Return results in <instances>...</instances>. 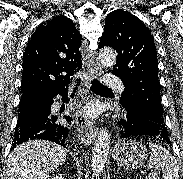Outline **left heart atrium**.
Segmentation results:
<instances>
[{
  "label": "left heart atrium",
  "instance_id": "1",
  "mask_svg": "<svg viewBox=\"0 0 183 179\" xmlns=\"http://www.w3.org/2000/svg\"><path fill=\"white\" fill-rule=\"evenodd\" d=\"M86 114L89 116H93L96 114V108L93 106H90L86 109Z\"/></svg>",
  "mask_w": 183,
  "mask_h": 179
}]
</instances>
